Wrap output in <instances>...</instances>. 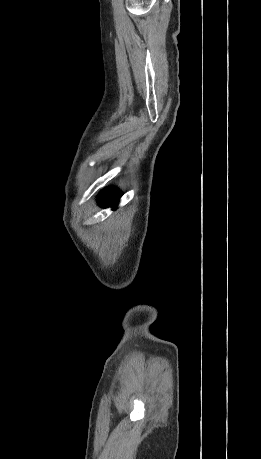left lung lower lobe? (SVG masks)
I'll use <instances>...</instances> for the list:
<instances>
[{
    "label": "left lung lower lobe",
    "instance_id": "0a47b994",
    "mask_svg": "<svg viewBox=\"0 0 261 459\" xmlns=\"http://www.w3.org/2000/svg\"><path fill=\"white\" fill-rule=\"evenodd\" d=\"M119 198H120V195L116 191L112 189H106L99 196V204L102 207H109V206L115 207Z\"/></svg>",
    "mask_w": 261,
    "mask_h": 459
}]
</instances>
